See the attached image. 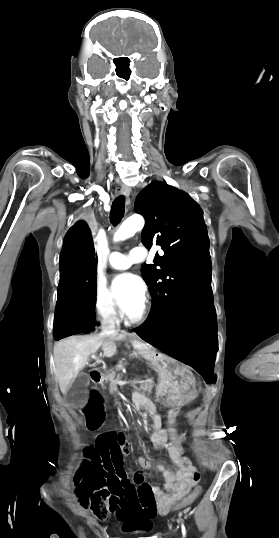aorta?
<instances>
[{
  "instance_id": "762f6f07",
  "label": "aorta",
  "mask_w": 279,
  "mask_h": 538,
  "mask_svg": "<svg viewBox=\"0 0 279 538\" xmlns=\"http://www.w3.org/2000/svg\"><path fill=\"white\" fill-rule=\"evenodd\" d=\"M144 219L139 215H133L127 218L114 235V241H123L133 236L137 231L144 227Z\"/></svg>"
}]
</instances>
